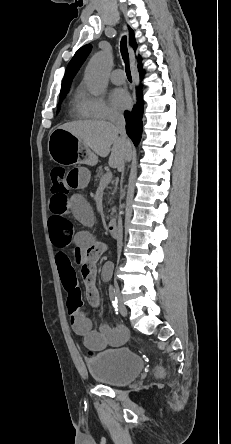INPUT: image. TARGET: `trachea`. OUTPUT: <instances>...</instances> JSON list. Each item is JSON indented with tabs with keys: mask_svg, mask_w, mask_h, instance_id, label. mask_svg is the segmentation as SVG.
I'll return each instance as SVG.
<instances>
[{
	"mask_svg": "<svg viewBox=\"0 0 231 444\" xmlns=\"http://www.w3.org/2000/svg\"><path fill=\"white\" fill-rule=\"evenodd\" d=\"M120 50H121V54H122V57H123V60L125 63V71H126L127 78H128V80H132L126 36H123V38L121 40Z\"/></svg>",
	"mask_w": 231,
	"mask_h": 444,
	"instance_id": "obj_1",
	"label": "trachea"
}]
</instances>
